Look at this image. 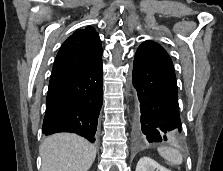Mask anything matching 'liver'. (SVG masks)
<instances>
[{
    "label": "liver",
    "mask_w": 223,
    "mask_h": 171,
    "mask_svg": "<svg viewBox=\"0 0 223 171\" xmlns=\"http://www.w3.org/2000/svg\"><path fill=\"white\" fill-rule=\"evenodd\" d=\"M96 152L94 145L76 134L51 135L39 148L41 171H88Z\"/></svg>",
    "instance_id": "6515ba94"
}]
</instances>
